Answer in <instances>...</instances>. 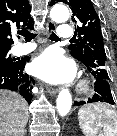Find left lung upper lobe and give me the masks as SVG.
<instances>
[{
    "label": "left lung upper lobe",
    "instance_id": "1",
    "mask_svg": "<svg viewBox=\"0 0 117 136\" xmlns=\"http://www.w3.org/2000/svg\"><path fill=\"white\" fill-rule=\"evenodd\" d=\"M68 4L73 12L78 43L70 45L74 58L81 61L94 76L102 77L109 81L106 66V53L103 44L100 20L90 0H53ZM73 20V16H72Z\"/></svg>",
    "mask_w": 117,
    "mask_h": 136
}]
</instances>
